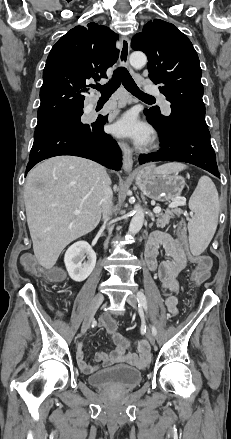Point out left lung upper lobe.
Segmentation results:
<instances>
[{"label": "left lung upper lobe", "mask_w": 231, "mask_h": 439, "mask_svg": "<svg viewBox=\"0 0 231 439\" xmlns=\"http://www.w3.org/2000/svg\"><path fill=\"white\" fill-rule=\"evenodd\" d=\"M131 47L148 58L149 78L171 103V114L146 110L147 116L163 127L170 120H183L208 129L202 100L203 85L198 55L191 41L173 24L155 19L132 38Z\"/></svg>", "instance_id": "left-lung-upper-lobe-1"}]
</instances>
